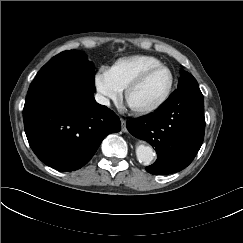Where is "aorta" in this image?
<instances>
[{
    "instance_id": "aorta-1",
    "label": "aorta",
    "mask_w": 243,
    "mask_h": 243,
    "mask_svg": "<svg viewBox=\"0 0 243 243\" xmlns=\"http://www.w3.org/2000/svg\"><path fill=\"white\" fill-rule=\"evenodd\" d=\"M136 156L139 162L148 165L154 159L155 153L152 147L140 144L136 147Z\"/></svg>"
}]
</instances>
